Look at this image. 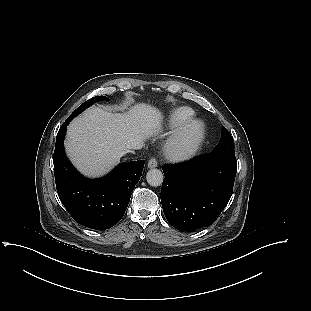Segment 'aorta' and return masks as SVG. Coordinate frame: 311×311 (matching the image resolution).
Here are the masks:
<instances>
[{"mask_svg": "<svg viewBox=\"0 0 311 311\" xmlns=\"http://www.w3.org/2000/svg\"><path fill=\"white\" fill-rule=\"evenodd\" d=\"M163 173L159 169H150L147 172L146 180L150 186L158 187L163 183Z\"/></svg>", "mask_w": 311, "mask_h": 311, "instance_id": "obj_1", "label": "aorta"}]
</instances>
